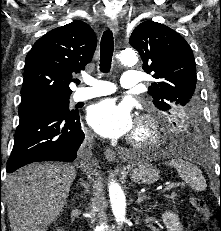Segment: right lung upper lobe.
<instances>
[{
    "mask_svg": "<svg viewBox=\"0 0 221 231\" xmlns=\"http://www.w3.org/2000/svg\"><path fill=\"white\" fill-rule=\"evenodd\" d=\"M97 38L83 21L53 29L38 39L25 59L22 99L70 98L72 75L92 60Z\"/></svg>",
    "mask_w": 221,
    "mask_h": 231,
    "instance_id": "1",
    "label": "right lung upper lobe"
}]
</instances>
